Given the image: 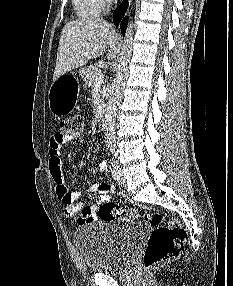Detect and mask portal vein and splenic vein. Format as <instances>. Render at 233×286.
<instances>
[{"label":"portal vein and splenic vein","instance_id":"obj_1","mask_svg":"<svg viewBox=\"0 0 233 286\" xmlns=\"http://www.w3.org/2000/svg\"><path fill=\"white\" fill-rule=\"evenodd\" d=\"M103 75L101 73H98L97 75H93L94 81L97 82H102L103 81Z\"/></svg>","mask_w":233,"mask_h":286}]
</instances>
